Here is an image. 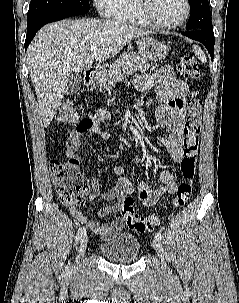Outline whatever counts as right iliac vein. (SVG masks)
Masks as SVG:
<instances>
[{"label": "right iliac vein", "instance_id": "63e3f726", "mask_svg": "<svg viewBox=\"0 0 239 303\" xmlns=\"http://www.w3.org/2000/svg\"><path fill=\"white\" fill-rule=\"evenodd\" d=\"M87 244H88V236L84 235L83 238L81 239V242L78 247L77 259H76L74 268H76L78 266L81 258L84 256V254L86 252Z\"/></svg>", "mask_w": 239, "mask_h": 303}]
</instances>
